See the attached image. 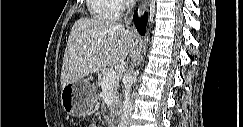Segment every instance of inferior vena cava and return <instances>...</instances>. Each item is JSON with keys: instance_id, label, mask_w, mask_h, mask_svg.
I'll list each match as a JSON object with an SVG mask.
<instances>
[{"instance_id": "602c4592", "label": "inferior vena cava", "mask_w": 243, "mask_h": 127, "mask_svg": "<svg viewBox=\"0 0 243 127\" xmlns=\"http://www.w3.org/2000/svg\"><path fill=\"white\" fill-rule=\"evenodd\" d=\"M123 83H124L123 92H124L125 100L123 101V105H122L120 127H128L130 122V113L132 110V103L130 100V89H131L132 81L128 76H125L123 79Z\"/></svg>"}]
</instances>
